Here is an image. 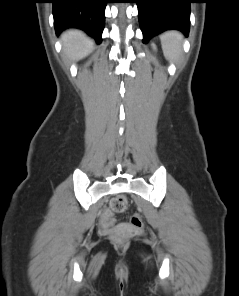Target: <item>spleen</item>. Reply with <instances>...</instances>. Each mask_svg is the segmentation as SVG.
I'll use <instances>...</instances> for the list:
<instances>
[{
	"label": "spleen",
	"mask_w": 239,
	"mask_h": 296,
	"mask_svg": "<svg viewBox=\"0 0 239 296\" xmlns=\"http://www.w3.org/2000/svg\"><path fill=\"white\" fill-rule=\"evenodd\" d=\"M161 44L165 57L175 61L182 52V35L177 31L165 32L161 35Z\"/></svg>",
	"instance_id": "1"
}]
</instances>
